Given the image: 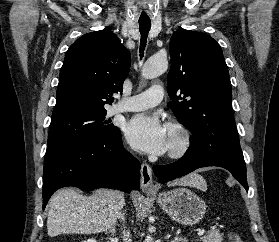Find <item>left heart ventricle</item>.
Here are the masks:
<instances>
[{"label": "left heart ventricle", "instance_id": "1", "mask_svg": "<svg viewBox=\"0 0 279 242\" xmlns=\"http://www.w3.org/2000/svg\"><path fill=\"white\" fill-rule=\"evenodd\" d=\"M168 137H169V148H171L176 144V135L170 129H168Z\"/></svg>", "mask_w": 279, "mask_h": 242}]
</instances>
